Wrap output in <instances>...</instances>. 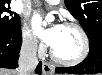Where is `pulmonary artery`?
<instances>
[{
    "mask_svg": "<svg viewBox=\"0 0 102 75\" xmlns=\"http://www.w3.org/2000/svg\"><path fill=\"white\" fill-rule=\"evenodd\" d=\"M48 3H50V4H59L61 1L60 0H48L47 1Z\"/></svg>",
    "mask_w": 102,
    "mask_h": 75,
    "instance_id": "1",
    "label": "pulmonary artery"
}]
</instances>
